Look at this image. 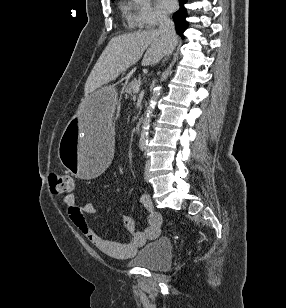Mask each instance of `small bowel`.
Here are the masks:
<instances>
[{"label": "small bowel", "instance_id": "small-bowel-1", "mask_svg": "<svg viewBox=\"0 0 286 308\" xmlns=\"http://www.w3.org/2000/svg\"><path fill=\"white\" fill-rule=\"evenodd\" d=\"M64 204L68 217L79 232L96 248L103 253L115 258H130L139 248L149 240H154L159 236L162 217L154 211L151 199L148 195H142L139 202L148 211L147 226L142 231H137L135 221L129 216L122 217L123 226L130 233L131 238L126 242L108 240L96 233L88 224L84 214L94 213L97 208L89 203H80L75 194L70 193L64 196Z\"/></svg>", "mask_w": 286, "mask_h": 308}]
</instances>
